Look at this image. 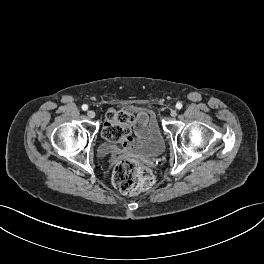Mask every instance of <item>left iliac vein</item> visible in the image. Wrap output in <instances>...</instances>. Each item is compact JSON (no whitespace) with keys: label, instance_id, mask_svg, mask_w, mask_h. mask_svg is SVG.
Here are the masks:
<instances>
[{"label":"left iliac vein","instance_id":"left-iliac-vein-1","mask_svg":"<svg viewBox=\"0 0 264 264\" xmlns=\"http://www.w3.org/2000/svg\"><path fill=\"white\" fill-rule=\"evenodd\" d=\"M171 116H172V117H176V116H177V111H176V110H173V111L171 112Z\"/></svg>","mask_w":264,"mask_h":264}]
</instances>
